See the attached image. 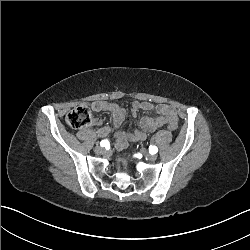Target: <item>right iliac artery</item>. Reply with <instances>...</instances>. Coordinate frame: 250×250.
<instances>
[{
  "instance_id": "right-iliac-artery-1",
  "label": "right iliac artery",
  "mask_w": 250,
  "mask_h": 250,
  "mask_svg": "<svg viewBox=\"0 0 250 250\" xmlns=\"http://www.w3.org/2000/svg\"><path fill=\"white\" fill-rule=\"evenodd\" d=\"M109 145V141L108 140H102L101 142H100V146L101 147H106V146H108Z\"/></svg>"
}]
</instances>
